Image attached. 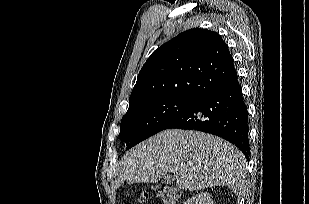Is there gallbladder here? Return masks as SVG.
Listing matches in <instances>:
<instances>
[{
  "mask_svg": "<svg viewBox=\"0 0 309 204\" xmlns=\"http://www.w3.org/2000/svg\"><path fill=\"white\" fill-rule=\"evenodd\" d=\"M163 181L167 184H171L173 182V177L171 175H165Z\"/></svg>",
  "mask_w": 309,
  "mask_h": 204,
  "instance_id": "bac80fb5",
  "label": "gallbladder"
}]
</instances>
